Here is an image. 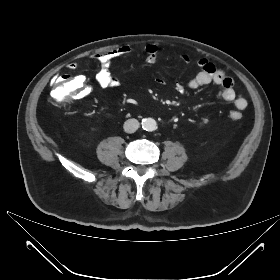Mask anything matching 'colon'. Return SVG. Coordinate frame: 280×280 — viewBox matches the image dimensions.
Listing matches in <instances>:
<instances>
[{
	"label": "colon",
	"instance_id": "5ec220e1",
	"mask_svg": "<svg viewBox=\"0 0 280 280\" xmlns=\"http://www.w3.org/2000/svg\"><path fill=\"white\" fill-rule=\"evenodd\" d=\"M83 81L84 79L81 77L71 75L58 76L53 82L50 100L56 105H61L73 99L80 91ZM233 118L238 120L241 118V115L237 113Z\"/></svg>",
	"mask_w": 280,
	"mask_h": 280
}]
</instances>
